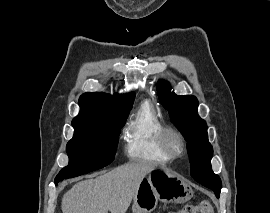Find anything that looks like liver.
Here are the masks:
<instances>
[{"label": "liver", "instance_id": "1", "mask_svg": "<svg viewBox=\"0 0 270 213\" xmlns=\"http://www.w3.org/2000/svg\"><path fill=\"white\" fill-rule=\"evenodd\" d=\"M156 168L152 163H128L76 183L62 198L63 213H126L141 181Z\"/></svg>", "mask_w": 270, "mask_h": 213}]
</instances>
